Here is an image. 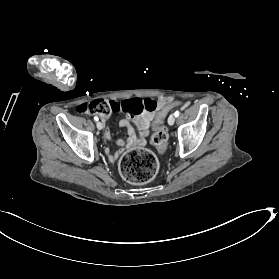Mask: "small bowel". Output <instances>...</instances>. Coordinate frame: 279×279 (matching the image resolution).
<instances>
[{"label":"small bowel","instance_id":"c3829d8e","mask_svg":"<svg viewBox=\"0 0 279 279\" xmlns=\"http://www.w3.org/2000/svg\"><path fill=\"white\" fill-rule=\"evenodd\" d=\"M163 100H159V107L162 106ZM154 118L153 112L143 113L139 116H128L123 118L119 122L120 127H125L127 129L128 138L114 140L111 136L110 130L107 128L104 135L105 138L119 147L116 152H111L106 149L105 153L108 159L112 162L116 161L117 158L122 154L125 147L131 148L134 146H140L145 144L146 138L149 135L150 123ZM132 123H134L138 128V134L136 133Z\"/></svg>","mask_w":279,"mask_h":279}]
</instances>
